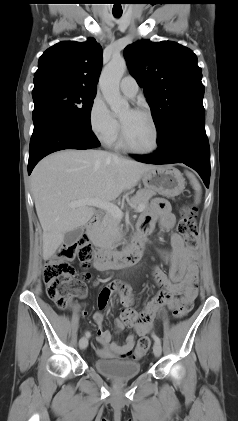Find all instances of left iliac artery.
Here are the masks:
<instances>
[{"label":"left iliac artery","mask_w":238,"mask_h":421,"mask_svg":"<svg viewBox=\"0 0 238 421\" xmlns=\"http://www.w3.org/2000/svg\"><path fill=\"white\" fill-rule=\"evenodd\" d=\"M152 337H153V339L155 340V342H159V343H161V340H160V338L156 335V334H152Z\"/></svg>","instance_id":"1"}]
</instances>
